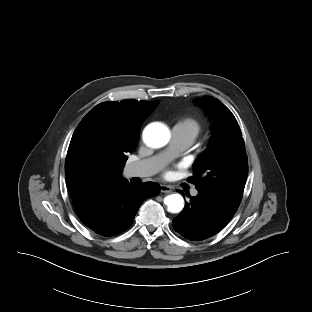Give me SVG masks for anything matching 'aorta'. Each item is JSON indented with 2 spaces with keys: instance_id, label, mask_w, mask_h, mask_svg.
I'll use <instances>...</instances> for the list:
<instances>
[{
  "instance_id": "1",
  "label": "aorta",
  "mask_w": 312,
  "mask_h": 312,
  "mask_svg": "<svg viewBox=\"0 0 312 312\" xmlns=\"http://www.w3.org/2000/svg\"><path fill=\"white\" fill-rule=\"evenodd\" d=\"M144 142L152 148L165 146L170 139V132L162 124H150L143 132ZM164 203L172 213L180 212L184 207V199L180 194H171L165 197Z\"/></svg>"
}]
</instances>
